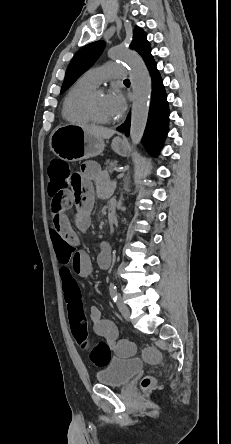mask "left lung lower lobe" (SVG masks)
I'll return each mask as SVG.
<instances>
[{
  "label": "left lung lower lobe",
  "mask_w": 231,
  "mask_h": 444,
  "mask_svg": "<svg viewBox=\"0 0 231 444\" xmlns=\"http://www.w3.org/2000/svg\"><path fill=\"white\" fill-rule=\"evenodd\" d=\"M144 61L151 72L152 97L143 143L150 154L157 156L168 133L170 112L163 80L159 75L152 55L150 54ZM117 130L125 132L127 136L129 135L130 115Z\"/></svg>",
  "instance_id": "0a47b994"
}]
</instances>
